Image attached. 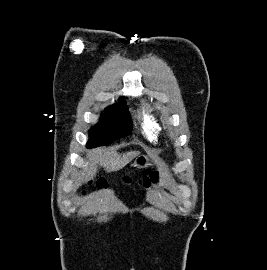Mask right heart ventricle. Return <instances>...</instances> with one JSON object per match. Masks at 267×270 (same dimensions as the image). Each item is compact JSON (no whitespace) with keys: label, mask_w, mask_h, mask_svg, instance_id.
<instances>
[{"label":"right heart ventricle","mask_w":267,"mask_h":270,"mask_svg":"<svg viewBox=\"0 0 267 270\" xmlns=\"http://www.w3.org/2000/svg\"><path fill=\"white\" fill-rule=\"evenodd\" d=\"M140 121L144 136L156 142L162 134V125L157 115L151 109L144 107L140 113Z\"/></svg>","instance_id":"e07e8e85"}]
</instances>
